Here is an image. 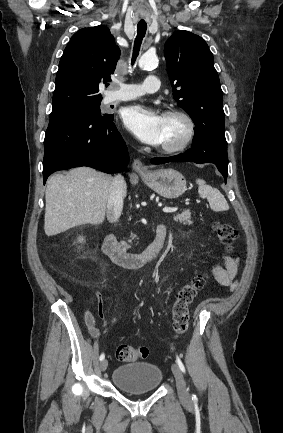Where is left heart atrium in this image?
Here are the masks:
<instances>
[{
  "label": "left heart atrium",
  "mask_w": 283,
  "mask_h": 433,
  "mask_svg": "<svg viewBox=\"0 0 283 433\" xmlns=\"http://www.w3.org/2000/svg\"><path fill=\"white\" fill-rule=\"evenodd\" d=\"M155 111L147 105H132L123 111L122 120L141 143L152 149H160L164 143L163 116Z\"/></svg>",
  "instance_id": "39dd6f15"
}]
</instances>
